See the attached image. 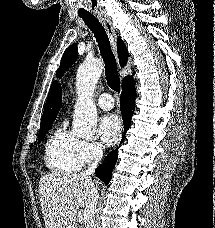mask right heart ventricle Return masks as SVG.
Listing matches in <instances>:
<instances>
[{"label":"right heart ventricle","instance_id":"obj_1","mask_svg":"<svg viewBox=\"0 0 215 228\" xmlns=\"http://www.w3.org/2000/svg\"><path fill=\"white\" fill-rule=\"evenodd\" d=\"M81 140L68 131L66 123L58 125L49 135L44 152L45 164L56 173L78 171L82 165Z\"/></svg>","mask_w":215,"mask_h":228}]
</instances>
